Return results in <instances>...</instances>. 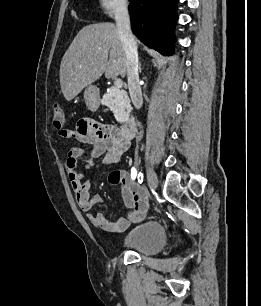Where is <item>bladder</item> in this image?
<instances>
[{
	"instance_id": "31cf9c89",
	"label": "bladder",
	"mask_w": 261,
	"mask_h": 306,
	"mask_svg": "<svg viewBox=\"0 0 261 306\" xmlns=\"http://www.w3.org/2000/svg\"><path fill=\"white\" fill-rule=\"evenodd\" d=\"M166 239L163 224L157 220H148L128 231L121 245L142 255H155L162 250Z\"/></svg>"
}]
</instances>
